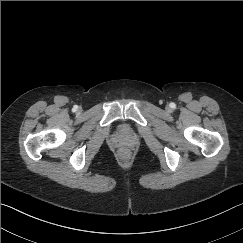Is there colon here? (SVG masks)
<instances>
[{"label":"colon","mask_w":243,"mask_h":243,"mask_svg":"<svg viewBox=\"0 0 243 243\" xmlns=\"http://www.w3.org/2000/svg\"><path fill=\"white\" fill-rule=\"evenodd\" d=\"M119 156L123 159V160H125V161H128V159H129V154H128V152L125 150V149H120L119 150Z\"/></svg>","instance_id":"5ec220e1"}]
</instances>
